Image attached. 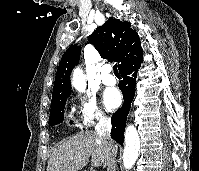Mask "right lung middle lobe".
Instances as JSON below:
<instances>
[{
  "label": "right lung middle lobe",
  "instance_id": "dd1d6c3e",
  "mask_svg": "<svg viewBox=\"0 0 199 171\" xmlns=\"http://www.w3.org/2000/svg\"><path fill=\"white\" fill-rule=\"evenodd\" d=\"M67 98L51 104L49 124L51 126L62 123L64 118V108Z\"/></svg>",
  "mask_w": 199,
  "mask_h": 171
}]
</instances>
